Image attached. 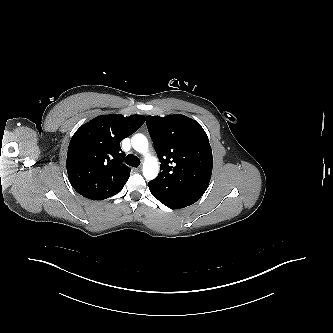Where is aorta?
Returning <instances> with one entry per match:
<instances>
[{
    "mask_svg": "<svg viewBox=\"0 0 333 333\" xmlns=\"http://www.w3.org/2000/svg\"><path fill=\"white\" fill-rule=\"evenodd\" d=\"M134 150L145 155L143 163V176L147 180L155 179L158 175L159 165L156 157L148 154V140L143 134H135L131 139Z\"/></svg>",
    "mask_w": 333,
    "mask_h": 333,
    "instance_id": "aorta-1",
    "label": "aorta"
}]
</instances>
